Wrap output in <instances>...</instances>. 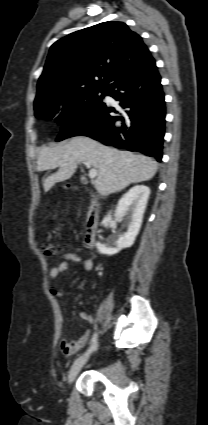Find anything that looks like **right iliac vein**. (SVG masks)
I'll list each match as a JSON object with an SVG mask.
<instances>
[{
    "label": "right iliac vein",
    "mask_w": 208,
    "mask_h": 425,
    "mask_svg": "<svg viewBox=\"0 0 208 425\" xmlns=\"http://www.w3.org/2000/svg\"><path fill=\"white\" fill-rule=\"evenodd\" d=\"M89 359V355H83L80 356L78 359L75 360V362L72 364L69 373H68V383H72L82 367L86 364V362Z\"/></svg>",
    "instance_id": "1"
}]
</instances>
